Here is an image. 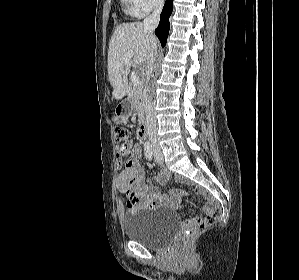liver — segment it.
<instances>
[{
	"mask_svg": "<svg viewBox=\"0 0 299 280\" xmlns=\"http://www.w3.org/2000/svg\"><path fill=\"white\" fill-rule=\"evenodd\" d=\"M157 44V40L155 38ZM133 51V59L126 61L125 54ZM150 41L142 23H124L116 27L109 43L108 76L113 87V98L122 99L128 94L127 76L131 66H148Z\"/></svg>",
	"mask_w": 299,
	"mask_h": 280,
	"instance_id": "liver-1",
	"label": "liver"
}]
</instances>
